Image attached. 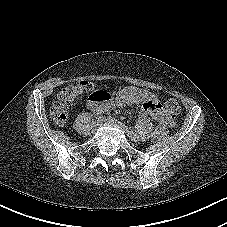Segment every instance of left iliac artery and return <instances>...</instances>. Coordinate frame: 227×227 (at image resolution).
Returning <instances> with one entry per match:
<instances>
[{
    "label": "left iliac artery",
    "mask_w": 227,
    "mask_h": 227,
    "mask_svg": "<svg viewBox=\"0 0 227 227\" xmlns=\"http://www.w3.org/2000/svg\"><path fill=\"white\" fill-rule=\"evenodd\" d=\"M132 133H133V137H138V131L137 130H134Z\"/></svg>",
    "instance_id": "obj_1"
}]
</instances>
